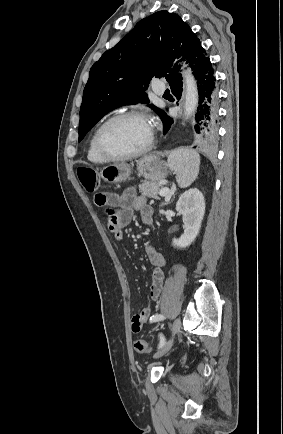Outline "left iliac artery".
Here are the masks:
<instances>
[{
	"label": "left iliac artery",
	"mask_w": 283,
	"mask_h": 434,
	"mask_svg": "<svg viewBox=\"0 0 283 434\" xmlns=\"http://www.w3.org/2000/svg\"><path fill=\"white\" fill-rule=\"evenodd\" d=\"M164 318H165L164 315H162V314H157V315H154V316L151 318V322L161 321V320H163ZM159 336H160L159 348H161V347H163L164 344H165V338H164V336H163L162 334H160Z\"/></svg>",
	"instance_id": "44dca946"
}]
</instances>
